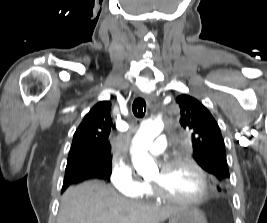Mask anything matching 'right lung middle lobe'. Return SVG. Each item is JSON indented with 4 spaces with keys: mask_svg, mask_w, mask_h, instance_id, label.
<instances>
[{
    "mask_svg": "<svg viewBox=\"0 0 267 223\" xmlns=\"http://www.w3.org/2000/svg\"><path fill=\"white\" fill-rule=\"evenodd\" d=\"M105 162L106 164L104 165V171L96 169L98 163L95 162V160H79L75 162H68L65 173H69L75 170L97 171L98 173H101L104 180H109L111 176L112 162L111 159H108Z\"/></svg>",
    "mask_w": 267,
    "mask_h": 223,
    "instance_id": "obj_1",
    "label": "right lung middle lobe"
}]
</instances>
